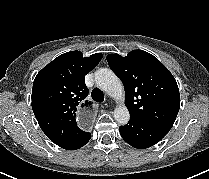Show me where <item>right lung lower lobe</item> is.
<instances>
[{"mask_svg": "<svg viewBox=\"0 0 209 179\" xmlns=\"http://www.w3.org/2000/svg\"><path fill=\"white\" fill-rule=\"evenodd\" d=\"M91 139V134L80 130L78 133L70 137L69 139L57 144L63 149L75 150L83 147Z\"/></svg>", "mask_w": 209, "mask_h": 179, "instance_id": "98d812e1", "label": "right lung lower lobe"}]
</instances>
